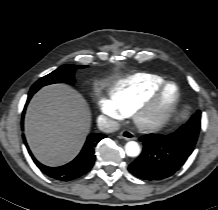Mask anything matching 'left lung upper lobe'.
Here are the masks:
<instances>
[{
  "instance_id": "1",
  "label": "left lung upper lobe",
  "mask_w": 218,
  "mask_h": 210,
  "mask_svg": "<svg viewBox=\"0 0 218 210\" xmlns=\"http://www.w3.org/2000/svg\"><path fill=\"white\" fill-rule=\"evenodd\" d=\"M200 119L201 112L198 110L186 124L181 126V130H183L187 136H193L194 139H197L200 129Z\"/></svg>"
}]
</instances>
